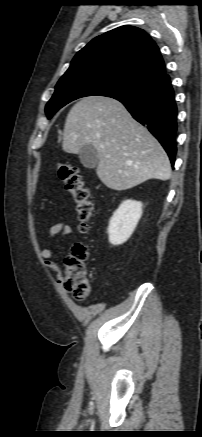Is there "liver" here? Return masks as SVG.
Instances as JSON below:
<instances>
[{
  "mask_svg": "<svg viewBox=\"0 0 202 437\" xmlns=\"http://www.w3.org/2000/svg\"><path fill=\"white\" fill-rule=\"evenodd\" d=\"M86 144L97 150L96 173L110 189L122 191L149 179L171 177L170 161L161 144L113 98L84 97L69 111L63 150L78 154Z\"/></svg>",
  "mask_w": 202,
  "mask_h": 437,
  "instance_id": "1",
  "label": "liver"
}]
</instances>
